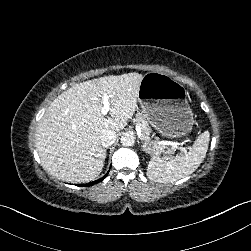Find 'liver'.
<instances>
[{"mask_svg": "<svg viewBox=\"0 0 251 251\" xmlns=\"http://www.w3.org/2000/svg\"><path fill=\"white\" fill-rule=\"evenodd\" d=\"M143 75L132 72L75 84L48 107L36 128V148L44 168L71 183L94 180L102 171L106 150L101 132H119L137 108ZM112 95L111 117L101 114L102 96Z\"/></svg>", "mask_w": 251, "mask_h": 251, "instance_id": "6515ba94", "label": "liver"}]
</instances>
